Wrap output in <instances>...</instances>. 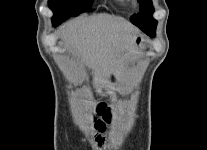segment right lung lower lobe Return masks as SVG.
<instances>
[{
  "instance_id": "right-lung-lower-lobe-1",
  "label": "right lung lower lobe",
  "mask_w": 207,
  "mask_h": 150,
  "mask_svg": "<svg viewBox=\"0 0 207 150\" xmlns=\"http://www.w3.org/2000/svg\"><path fill=\"white\" fill-rule=\"evenodd\" d=\"M53 26H57V24H53Z\"/></svg>"
}]
</instances>
